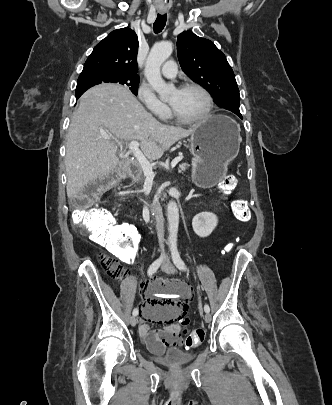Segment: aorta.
<instances>
[{
  "mask_svg": "<svg viewBox=\"0 0 332 405\" xmlns=\"http://www.w3.org/2000/svg\"><path fill=\"white\" fill-rule=\"evenodd\" d=\"M173 51V44L170 41L155 44L145 63V77L150 86L164 97L172 88L171 85L163 80L160 68L161 65L170 57ZM169 243L172 246L177 244V234L179 226V210L176 202L170 201L167 206Z\"/></svg>",
  "mask_w": 332,
  "mask_h": 405,
  "instance_id": "obj_1",
  "label": "aorta"
}]
</instances>
